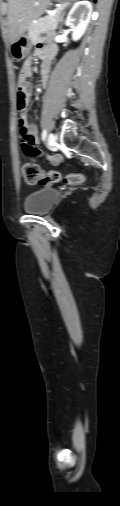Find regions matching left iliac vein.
Instances as JSON below:
<instances>
[{"label":"left iliac vein","mask_w":120,"mask_h":506,"mask_svg":"<svg viewBox=\"0 0 120 506\" xmlns=\"http://www.w3.org/2000/svg\"><path fill=\"white\" fill-rule=\"evenodd\" d=\"M48 143L53 146L56 143V136L53 133L48 135Z\"/></svg>","instance_id":"left-iliac-vein-1"}]
</instances>
